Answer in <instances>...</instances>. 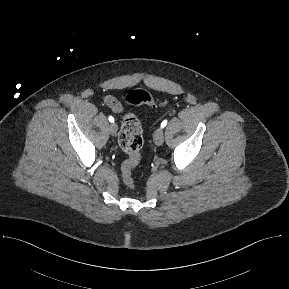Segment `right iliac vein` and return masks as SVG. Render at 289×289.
Instances as JSON below:
<instances>
[{
    "mask_svg": "<svg viewBox=\"0 0 289 289\" xmlns=\"http://www.w3.org/2000/svg\"><path fill=\"white\" fill-rule=\"evenodd\" d=\"M117 125H115V124H112L111 126H110V133L112 134V135H115L116 134V132H117Z\"/></svg>",
    "mask_w": 289,
    "mask_h": 289,
    "instance_id": "right-iliac-vein-1",
    "label": "right iliac vein"
}]
</instances>
